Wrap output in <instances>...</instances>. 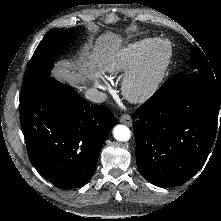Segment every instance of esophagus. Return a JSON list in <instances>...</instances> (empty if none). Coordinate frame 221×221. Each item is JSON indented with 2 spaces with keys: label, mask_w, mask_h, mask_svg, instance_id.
<instances>
[{
  "label": "esophagus",
  "mask_w": 221,
  "mask_h": 221,
  "mask_svg": "<svg viewBox=\"0 0 221 221\" xmlns=\"http://www.w3.org/2000/svg\"><path fill=\"white\" fill-rule=\"evenodd\" d=\"M120 122L127 125V126H131L132 125V118L130 115L128 114H123L121 117H120Z\"/></svg>",
  "instance_id": "obj_1"
}]
</instances>
